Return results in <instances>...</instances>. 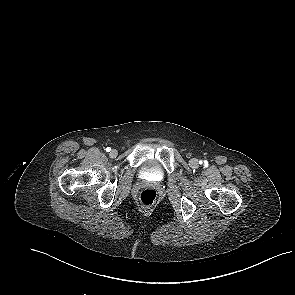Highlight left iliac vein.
<instances>
[{"label":"left iliac vein","instance_id":"1","mask_svg":"<svg viewBox=\"0 0 295 295\" xmlns=\"http://www.w3.org/2000/svg\"><path fill=\"white\" fill-rule=\"evenodd\" d=\"M189 165H190L192 168H198V166H199V161H198L196 158H192V159L189 161Z\"/></svg>","mask_w":295,"mask_h":295}]
</instances>
